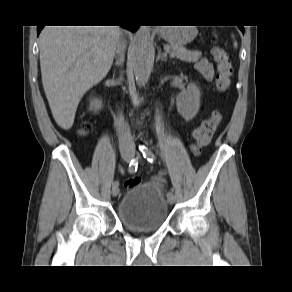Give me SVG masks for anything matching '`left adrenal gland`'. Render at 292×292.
<instances>
[{
  "label": "left adrenal gland",
  "instance_id": "1",
  "mask_svg": "<svg viewBox=\"0 0 292 292\" xmlns=\"http://www.w3.org/2000/svg\"><path fill=\"white\" fill-rule=\"evenodd\" d=\"M164 60V61H166L167 60V55H163L162 54V52H161V50H159V52H158V56H157V59H156V61H158V60Z\"/></svg>",
  "mask_w": 292,
  "mask_h": 292
}]
</instances>
